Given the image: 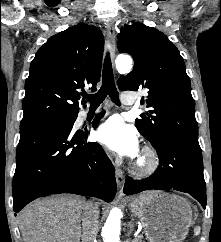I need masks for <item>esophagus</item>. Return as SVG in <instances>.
Instances as JSON below:
<instances>
[{
  "mask_svg": "<svg viewBox=\"0 0 221 242\" xmlns=\"http://www.w3.org/2000/svg\"><path fill=\"white\" fill-rule=\"evenodd\" d=\"M106 34H107V39L109 43L111 58L113 60L115 56V27L113 22H108L106 24ZM115 176H116L117 186L119 188V193L122 194L123 185L125 181L124 172L117 167L115 169Z\"/></svg>",
  "mask_w": 221,
  "mask_h": 242,
  "instance_id": "obj_1",
  "label": "esophagus"
}]
</instances>
